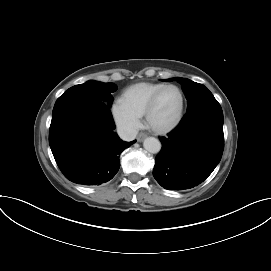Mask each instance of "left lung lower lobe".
<instances>
[{
    "label": "left lung lower lobe",
    "mask_w": 271,
    "mask_h": 271,
    "mask_svg": "<svg viewBox=\"0 0 271 271\" xmlns=\"http://www.w3.org/2000/svg\"><path fill=\"white\" fill-rule=\"evenodd\" d=\"M154 178L165 189H190L202 183L221 160L223 112L217 100L187 110L179 126L160 138Z\"/></svg>",
    "instance_id": "0a47b994"
}]
</instances>
